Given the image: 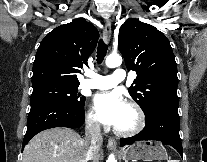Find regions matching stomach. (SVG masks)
I'll return each mask as SVG.
<instances>
[{
    "instance_id": "stomach-1",
    "label": "stomach",
    "mask_w": 207,
    "mask_h": 162,
    "mask_svg": "<svg viewBox=\"0 0 207 162\" xmlns=\"http://www.w3.org/2000/svg\"><path fill=\"white\" fill-rule=\"evenodd\" d=\"M120 156L125 162L142 160L152 162L154 160H167L168 154L161 143L152 141H140L128 146L120 152Z\"/></svg>"
}]
</instances>
